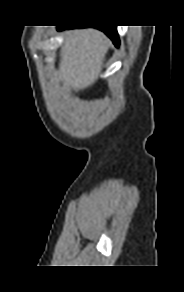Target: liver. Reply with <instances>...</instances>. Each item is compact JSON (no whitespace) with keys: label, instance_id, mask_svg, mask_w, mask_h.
<instances>
[{"label":"liver","instance_id":"obj_1","mask_svg":"<svg viewBox=\"0 0 184 292\" xmlns=\"http://www.w3.org/2000/svg\"><path fill=\"white\" fill-rule=\"evenodd\" d=\"M109 46L108 38L96 29L66 31L58 72L63 87L78 92L93 85Z\"/></svg>","mask_w":184,"mask_h":292}]
</instances>
